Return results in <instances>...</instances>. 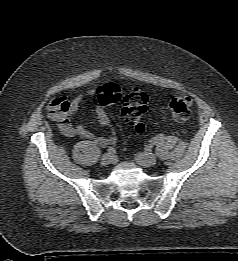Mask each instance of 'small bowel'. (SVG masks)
<instances>
[{
	"mask_svg": "<svg viewBox=\"0 0 238 261\" xmlns=\"http://www.w3.org/2000/svg\"><path fill=\"white\" fill-rule=\"evenodd\" d=\"M97 94L95 90H89L83 94L75 96L70 101L67 100V109L66 111L53 116V118L58 122L61 132L67 136L72 137L78 135L85 139H90L98 145L101 146H110L114 145L117 142V137L114 131L111 128L110 120L105 111L104 107L98 106L96 108V115L99 123L108 129V134L106 135H97L91 132L87 127L82 124L75 125L72 122L73 115L79 110L81 104L87 97H91Z\"/></svg>",
	"mask_w": 238,
	"mask_h": 261,
	"instance_id": "obj_1",
	"label": "small bowel"
}]
</instances>
